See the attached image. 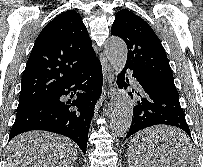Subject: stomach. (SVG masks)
Segmentation results:
<instances>
[{"label":"stomach","instance_id":"stomach-1","mask_svg":"<svg viewBox=\"0 0 203 167\" xmlns=\"http://www.w3.org/2000/svg\"><path fill=\"white\" fill-rule=\"evenodd\" d=\"M136 151H137V150H136ZM129 154H130V153H128V156H129ZM135 155H136V153H135ZM129 158H130V157H129Z\"/></svg>","mask_w":203,"mask_h":167}]
</instances>
